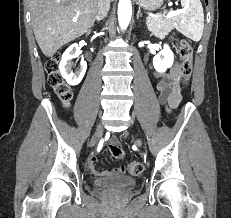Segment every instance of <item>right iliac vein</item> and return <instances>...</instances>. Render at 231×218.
I'll list each match as a JSON object with an SVG mask.
<instances>
[{"label": "right iliac vein", "instance_id": "obj_1", "mask_svg": "<svg viewBox=\"0 0 231 218\" xmlns=\"http://www.w3.org/2000/svg\"><path fill=\"white\" fill-rule=\"evenodd\" d=\"M102 135V126L99 125L93 135V141L96 142Z\"/></svg>", "mask_w": 231, "mask_h": 218}]
</instances>
